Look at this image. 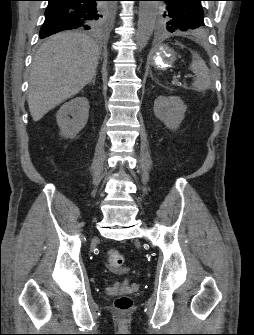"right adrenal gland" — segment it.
<instances>
[{
	"label": "right adrenal gland",
	"mask_w": 254,
	"mask_h": 335,
	"mask_svg": "<svg viewBox=\"0 0 254 335\" xmlns=\"http://www.w3.org/2000/svg\"><path fill=\"white\" fill-rule=\"evenodd\" d=\"M95 81H96V75L93 77V79H92V81L90 83H92L94 85Z\"/></svg>",
	"instance_id": "1"
}]
</instances>
